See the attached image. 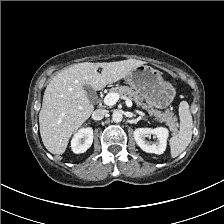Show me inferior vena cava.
I'll return each mask as SVG.
<instances>
[{"mask_svg":"<svg viewBox=\"0 0 224 224\" xmlns=\"http://www.w3.org/2000/svg\"><path fill=\"white\" fill-rule=\"evenodd\" d=\"M108 115V110L106 109H97L93 112V119L96 121L102 120Z\"/></svg>","mask_w":224,"mask_h":224,"instance_id":"obj_1","label":"inferior vena cava"}]
</instances>
